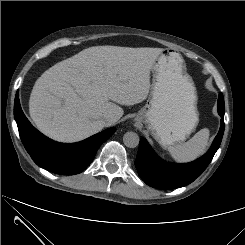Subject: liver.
Wrapping results in <instances>:
<instances>
[{"label": "liver", "mask_w": 245, "mask_h": 245, "mask_svg": "<svg viewBox=\"0 0 245 245\" xmlns=\"http://www.w3.org/2000/svg\"><path fill=\"white\" fill-rule=\"evenodd\" d=\"M162 48L93 46L56 63L35 82L29 113L50 138L77 142L100 132L107 115L118 120L124 111L144 101L150 71Z\"/></svg>", "instance_id": "1"}]
</instances>
